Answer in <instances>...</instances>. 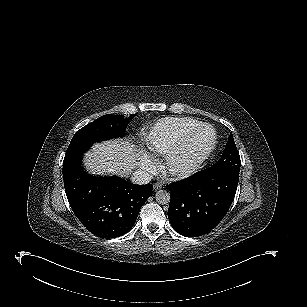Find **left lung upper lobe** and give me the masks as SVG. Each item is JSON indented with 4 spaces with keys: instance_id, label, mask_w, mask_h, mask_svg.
Listing matches in <instances>:
<instances>
[{
    "instance_id": "left-lung-upper-lobe-1",
    "label": "left lung upper lobe",
    "mask_w": 307,
    "mask_h": 307,
    "mask_svg": "<svg viewBox=\"0 0 307 307\" xmlns=\"http://www.w3.org/2000/svg\"><path fill=\"white\" fill-rule=\"evenodd\" d=\"M241 160L236 148L233 135L230 136L222 157L211 167L207 168L214 173L230 171L239 175Z\"/></svg>"
}]
</instances>
